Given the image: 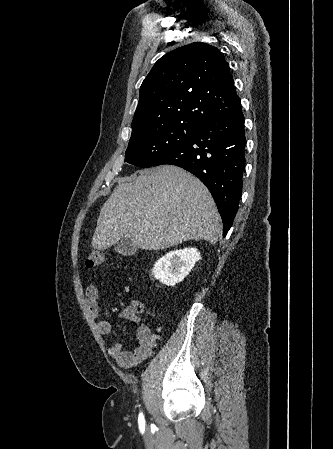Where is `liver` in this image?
Listing matches in <instances>:
<instances>
[{
    "label": "liver",
    "mask_w": 333,
    "mask_h": 449,
    "mask_svg": "<svg viewBox=\"0 0 333 449\" xmlns=\"http://www.w3.org/2000/svg\"><path fill=\"white\" fill-rule=\"evenodd\" d=\"M220 233V215L206 186L184 169L165 165L119 180L101 208L92 247L106 250L122 237L143 250L192 239L215 244Z\"/></svg>",
    "instance_id": "liver-1"
}]
</instances>
